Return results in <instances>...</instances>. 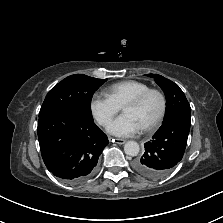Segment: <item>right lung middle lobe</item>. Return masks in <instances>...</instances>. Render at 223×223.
Returning <instances> with one entry per match:
<instances>
[{
	"mask_svg": "<svg viewBox=\"0 0 223 223\" xmlns=\"http://www.w3.org/2000/svg\"><path fill=\"white\" fill-rule=\"evenodd\" d=\"M106 81L107 79H97L84 74L68 76L48 92L39 116L55 109L72 107L92 117V96Z\"/></svg>",
	"mask_w": 223,
	"mask_h": 223,
	"instance_id": "dd1d6c3e",
	"label": "right lung middle lobe"
}]
</instances>
